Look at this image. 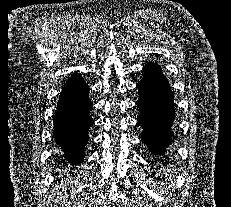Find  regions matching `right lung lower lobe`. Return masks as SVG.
I'll list each match as a JSON object with an SVG mask.
<instances>
[{
  "instance_id": "obj_1",
  "label": "right lung lower lobe",
  "mask_w": 231,
  "mask_h": 207,
  "mask_svg": "<svg viewBox=\"0 0 231 207\" xmlns=\"http://www.w3.org/2000/svg\"><path fill=\"white\" fill-rule=\"evenodd\" d=\"M88 93V85L77 73L66 81L57 102L54 139L72 165L83 161L88 129L92 124L89 115L92 103Z\"/></svg>"
}]
</instances>
